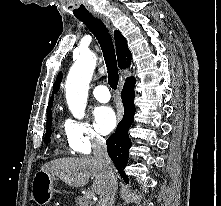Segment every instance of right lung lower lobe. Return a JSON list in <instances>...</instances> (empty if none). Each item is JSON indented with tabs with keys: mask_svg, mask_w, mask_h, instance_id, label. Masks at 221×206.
Here are the masks:
<instances>
[{
	"mask_svg": "<svg viewBox=\"0 0 221 206\" xmlns=\"http://www.w3.org/2000/svg\"><path fill=\"white\" fill-rule=\"evenodd\" d=\"M134 84L133 77L127 78L122 90V101L124 105V116L119 122L116 132L113 133L106 141L109 157L115 164L118 173L128 182L129 179L123 169L125 168L128 158L131 141L128 130L133 123L135 106H134Z\"/></svg>",
	"mask_w": 221,
	"mask_h": 206,
	"instance_id": "98d812e1",
	"label": "right lung lower lobe"
}]
</instances>
